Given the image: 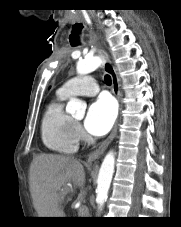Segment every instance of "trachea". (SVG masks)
I'll list each match as a JSON object with an SVG mask.
<instances>
[{
	"label": "trachea",
	"instance_id": "3493384b",
	"mask_svg": "<svg viewBox=\"0 0 181 227\" xmlns=\"http://www.w3.org/2000/svg\"><path fill=\"white\" fill-rule=\"evenodd\" d=\"M104 80H105V83H106L107 85H110V84H111V77H110V75H106V76L104 77Z\"/></svg>",
	"mask_w": 181,
	"mask_h": 227
}]
</instances>
